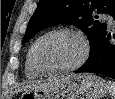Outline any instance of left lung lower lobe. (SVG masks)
I'll list each match as a JSON object with an SVG mask.
<instances>
[{
  "instance_id": "obj_1",
  "label": "left lung lower lobe",
  "mask_w": 115,
  "mask_h": 99,
  "mask_svg": "<svg viewBox=\"0 0 115 99\" xmlns=\"http://www.w3.org/2000/svg\"><path fill=\"white\" fill-rule=\"evenodd\" d=\"M113 19L115 20V15ZM109 40L110 34L106 32L97 48L90 53L88 60L75 72L97 73L115 79V44Z\"/></svg>"
}]
</instances>
